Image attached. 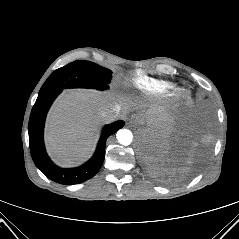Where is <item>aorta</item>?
<instances>
[{"mask_svg": "<svg viewBox=\"0 0 239 239\" xmlns=\"http://www.w3.org/2000/svg\"><path fill=\"white\" fill-rule=\"evenodd\" d=\"M117 140L123 146H128L133 141V134L128 129H121L117 132Z\"/></svg>", "mask_w": 239, "mask_h": 239, "instance_id": "obj_1", "label": "aorta"}]
</instances>
